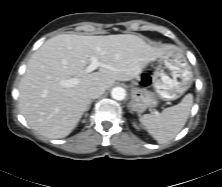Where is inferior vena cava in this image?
<instances>
[{
	"label": "inferior vena cava",
	"instance_id": "obj_1",
	"mask_svg": "<svg viewBox=\"0 0 222 187\" xmlns=\"http://www.w3.org/2000/svg\"><path fill=\"white\" fill-rule=\"evenodd\" d=\"M105 88L102 86H94L89 88L88 90V96L91 99L99 98L102 94H104Z\"/></svg>",
	"mask_w": 222,
	"mask_h": 187
}]
</instances>
